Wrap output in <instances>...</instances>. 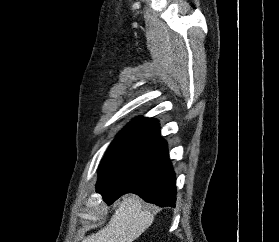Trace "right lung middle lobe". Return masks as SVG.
I'll return each instance as SVG.
<instances>
[{"instance_id": "1", "label": "right lung middle lobe", "mask_w": 279, "mask_h": 242, "mask_svg": "<svg viewBox=\"0 0 279 242\" xmlns=\"http://www.w3.org/2000/svg\"><path fill=\"white\" fill-rule=\"evenodd\" d=\"M158 132V122L149 118H137L126 126L105 154L99 167L98 183L114 173L124 162L149 143Z\"/></svg>"}]
</instances>
